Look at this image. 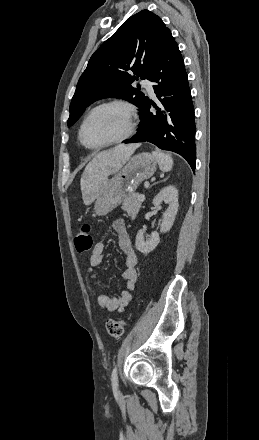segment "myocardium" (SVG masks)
Listing matches in <instances>:
<instances>
[{"mask_svg": "<svg viewBox=\"0 0 259 440\" xmlns=\"http://www.w3.org/2000/svg\"><path fill=\"white\" fill-rule=\"evenodd\" d=\"M107 106H120L125 109L126 115H127V124H128L126 132L122 136H120L114 140H111V141H108V142H105L102 144H98L95 146L87 145L83 140V129H84L86 122L88 121V119L90 118V116L93 113H95L97 110L104 108V107H107ZM136 128H137V121H136L135 107L130 102H128L126 100L111 99V100H107V101H104V102L97 104L96 106L91 108L86 113V115L84 116V118L80 124L79 130H78V139H79L80 143L85 148H87L89 150H99V149H102V148H105V147H108L111 145H115V144H119V143L124 142L125 140H127L133 136V134L136 131Z\"/></svg>", "mask_w": 259, "mask_h": 440, "instance_id": "obj_1", "label": "myocardium"}]
</instances>
